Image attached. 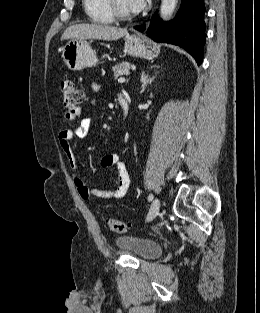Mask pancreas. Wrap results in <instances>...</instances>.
Returning <instances> with one entry per match:
<instances>
[{"instance_id":"1","label":"pancreas","mask_w":260,"mask_h":313,"mask_svg":"<svg viewBox=\"0 0 260 313\" xmlns=\"http://www.w3.org/2000/svg\"><path fill=\"white\" fill-rule=\"evenodd\" d=\"M130 69H131V65L128 62H122L112 67L115 78H118L119 76H123V75H128Z\"/></svg>"}]
</instances>
